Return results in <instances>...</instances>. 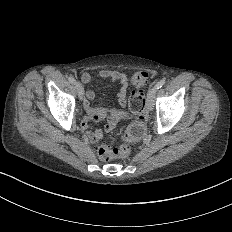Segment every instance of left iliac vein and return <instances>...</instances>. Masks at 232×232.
Wrapping results in <instances>:
<instances>
[{
	"label": "left iliac vein",
	"mask_w": 232,
	"mask_h": 232,
	"mask_svg": "<svg viewBox=\"0 0 232 232\" xmlns=\"http://www.w3.org/2000/svg\"><path fill=\"white\" fill-rule=\"evenodd\" d=\"M157 87L154 86L153 89L149 90L148 96H147V110L152 112L154 110V98H155V92Z\"/></svg>",
	"instance_id": "obj_1"
}]
</instances>
